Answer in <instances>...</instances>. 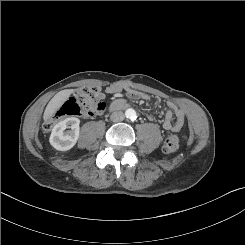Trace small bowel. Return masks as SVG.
<instances>
[{
  "mask_svg": "<svg viewBox=\"0 0 245 245\" xmlns=\"http://www.w3.org/2000/svg\"><path fill=\"white\" fill-rule=\"evenodd\" d=\"M124 90L127 96L131 99L136 100H148L150 97L148 94L136 91L132 89L128 84H122L119 86H110L106 89L109 94H116L120 91ZM122 104H126L125 100L117 99L112 102L111 109L116 110ZM173 117L175 119L173 120ZM151 118V116H150ZM185 122V112L183 109L177 107L174 103L169 102L168 108L165 113V120L163 123V129L167 133L171 132H179Z\"/></svg>",
  "mask_w": 245,
  "mask_h": 245,
  "instance_id": "1",
  "label": "small bowel"
}]
</instances>
